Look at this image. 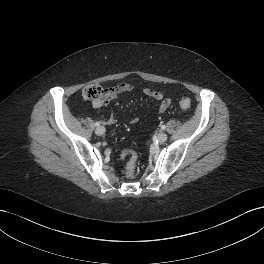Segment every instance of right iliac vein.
Listing matches in <instances>:
<instances>
[{"label":"right iliac vein","mask_w":264,"mask_h":264,"mask_svg":"<svg viewBox=\"0 0 264 264\" xmlns=\"http://www.w3.org/2000/svg\"><path fill=\"white\" fill-rule=\"evenodd\" d=\"M95 133L99 136L103 135L105 133V128L103 126H99L96 128Z\"/></svg>","instance_id":"1"}]
</instances>
